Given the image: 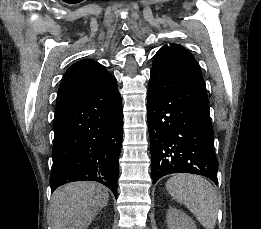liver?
Here are the masks:
<instances>
[{"mask_svg":"<svg viewBox=\"0 0 261 229\" xmlns=\"http://www.w3.org/2000/svg\"><path fill=\"white\" fill-rule=\"evenodd\" d=\"M109 201L107 187L95 181H77L56 189L49 217L52 229H88Z\"/></svg>","mask_w":261,"mask_h":229,"instance_id":"obj_1","label":"liver"}]
</instances>
